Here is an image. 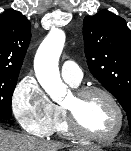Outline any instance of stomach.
<instances>
[{"label": "stomach", "instance_id": "obj_1", "mask_svg": "<svg viewBox=\"0 0 131 151\" xmlns=\"http://www.w3.org/2000/svg\"><path fill=\"white\" fill-rule=\"evenodd\" d=\"M84 151H104V150H102V149L99 148V147H94V148H90V149L84 150Z\"/></svg>", "mask_w": 131, "mask_h": 151}]
</instances>
